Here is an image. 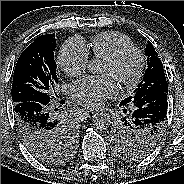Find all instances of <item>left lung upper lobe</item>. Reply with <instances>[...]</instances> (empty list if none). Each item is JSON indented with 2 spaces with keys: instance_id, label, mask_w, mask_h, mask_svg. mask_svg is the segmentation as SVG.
I'll return each instance as SVG.
<instances>
[{
  "instance_id": "obj_1",
  "label": "left lung upper lobe",
  "mask_w": 184,
  "mask_h": 184,
  "mask_svg": "<svg viewBox=\"0 0 184 184\" xmlns=\"http://www.w3.org/2000/svg\"><path fill=\"white\" fill-rule=\"evenodd\" d=\"M147 58V70L145 71L143 80L134 90L133 96L124 99L120 105H134L139 99L153 92L168 93V84L166 81L164 69L158 54L151 44L148 42L145 51ZM152 128L136 127L132 122V117L122 118L118 120L110 131L111 140L116 148L117 154L125 160H138L148 155L156 146L153 145L150 151L137 153L135 146L139 142H149L152 140ZM156 134L159 132H155Z\"/></svg>"
}]
</instances>
